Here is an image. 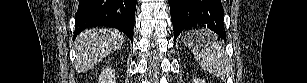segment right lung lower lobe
<instances>
[{"instance_id": "obj_1", "label": "right lung lower lobe", "mask_w": 307, "mask_h": 83, "mask_svg": "<svg viewBox=\"0 0 307 83\" xmlns=\"http://www.w3.org/2000/svg\"><path fill=\"white\" fill-rule=\"evenodd\" d=\"M137 0H80L74 38L81 31L107 26L121 30L133 41Z\"/></svg>"}]
</instances>
